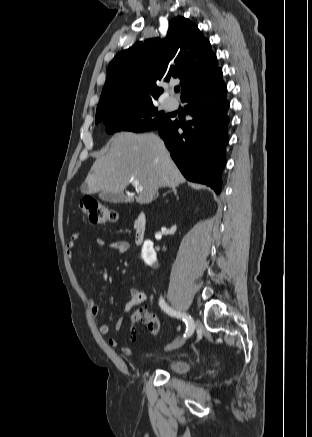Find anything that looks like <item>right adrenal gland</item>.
I'll list each match as a JSON object with an SVG mask.
<instances>
[{
  "mask_svg": "<svg viewBox=\"0 0 312 437\" xmlns=\"http://www.w3.org/2000/svg\"><path fill=\"white\" fill-rule=\"evenodd\" d=\"M171 190L174 192L175 195H177V189L176 187H171ZM170 191H168L167 193H169ZM167 193H165L164 195H166Z\"/></svg>",
  "mask_w": 312,
  "mask_h": 437,
  "instance_id": "obj_1",
  "label": "right adrenal gland"
}]
</instances>
